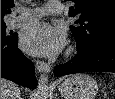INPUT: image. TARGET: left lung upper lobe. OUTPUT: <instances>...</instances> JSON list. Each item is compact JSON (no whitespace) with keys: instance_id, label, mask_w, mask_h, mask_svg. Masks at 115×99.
I'll list each match as a JSON object with an SVG mask.
<instances>
[{"instance_id":"obj_1","label":"left lung upper lobe","mask_w":115,"mask_h":99,"mask_svg":"<svg viewBox=\"0 0 115 99\" xmlns=\"http://www.w3.org/2000/svg\"><path fill=\"white\" fill-rule=\"evenodd\" d=\"M66 1V0H65ZM70 17H79L70 29L76 39L77 52L101 45L115 44L114 0H71Z\"/></svg>"}]
</instances>
